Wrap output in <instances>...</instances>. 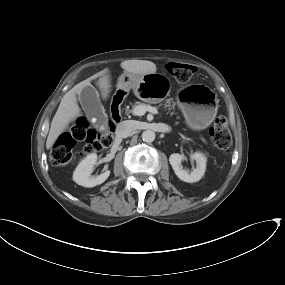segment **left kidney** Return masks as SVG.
<instances>
[{"instance_id": "5707ae66", "label": "left kidney", "mask_w": 285, "mask_h": 285, "mask_svg": "<svg viewBox=\"0 0 285 285\" xmlns=\"http://www.w3.org/2000/svg\"><path fill=\"white\" fill-rule=\"evenodd\" d=\"M186 157L182 154L174 153L169 157V162L179 179L187 183L198 182L205 173L207 158L203 153L195 152L190 156L192 161L196 162V168L189 173L182 166V161Z\"/></svg>"}]
</instances>
